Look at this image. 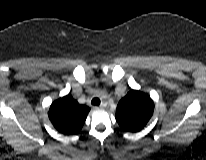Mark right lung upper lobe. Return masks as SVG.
Returning a JSON list of instances; mask_svg holds the SVG:
<instances>
[{
	"instance_id": "cb5924a9",
	"label": "right lung upper lobe",
	"mask_w": 206,
	"mask_h": 160,
	"mask_svg": "<svg viewBox=\"0 0 206 160\" xmlns=\"http://www.w3.org/2000/svg\"><path fill=\"white\" fill-rule=\"evenodd\" d=\"M90 108L81 105L70 94L55 100L48 112L49 119L62 134H77L83 127Z\"/></svg>"
}]
</instances>
